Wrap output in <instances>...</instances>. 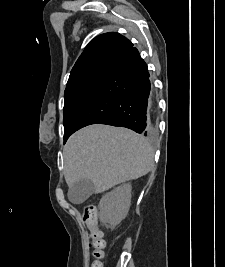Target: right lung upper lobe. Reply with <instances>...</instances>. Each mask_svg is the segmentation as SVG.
Here are the masks:
<instances>
[{"mask_svg":"<svg viewBox=\"0 0 225 267\" xmlns=\"http://www.w3.org/2000/svg\"><path fill=\"white\" fill-rule=\"evenodd\" d=\"M133 47L124 36L108 32L95 37L84 49L70 73L67 86L85 77L106 74L117 57Z\"/></svg>","mask_w":225,"mask_h":267,"instance_id":"right-lung-upper-lobe-1","label":"right lung upper lobe"}]
</instances>
